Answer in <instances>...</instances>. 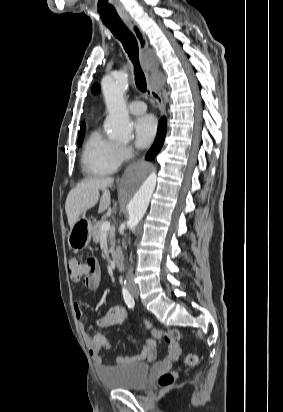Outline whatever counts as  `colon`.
Segmentation results:
<instances>
[{
	"label": "colon",
	"mask_w": 283,
	"mask_h": 412,
	"mask_svg": "<svg viewBox=\"0 0 283 412\" xmlns=\"http://www.w3.org/2000/svg\"><path fill=\"white\" fill-rule=\"evenodd\" d=\"M68 272L72 279L80 280L84 278L88 273L94 272L97 268V261L95 258L90 257L85 262L77 258H72L68 261ZM164 341L170 344H176L182 339V335L177 330H169L162 333L161 337ZM185 362L188 365H194L197 362V357L194 354H188L185 357ZM176 376V372L164 374L159 378V385L161 387L169 386Z\"/></svg>",
	"instance_id": "5ec220e1"
}]
</instances>
